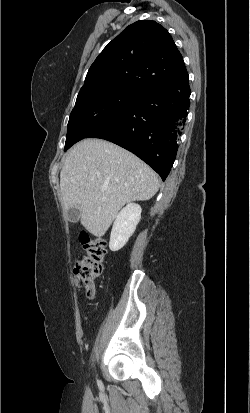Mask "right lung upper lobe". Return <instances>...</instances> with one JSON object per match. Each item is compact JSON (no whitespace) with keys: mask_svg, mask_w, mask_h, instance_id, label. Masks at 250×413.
<instances>
[{"mask_svg":"<svg viewBox=\"0 0 250 413\" xmlns=\"http://www.w3.org/2000/svg\"><path fill=\"white\" fill-rule=\"evenodd\" d=\"M188 80L183 57L168 31L155 21L140 20L103 49L89 68L81 90L125 85L143 92L183 85Z\"/></svg>","mask_w":250,"mask_h":413,"instance_id":"obj_1","label":"right lung upper lobe"}]
</instances>
